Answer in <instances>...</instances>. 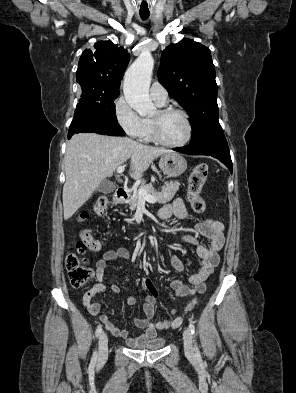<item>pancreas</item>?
Listing matches in <instances>:
<instances>
[{
	"label": "pancreas",
	"mask_w": 296,
	"mask_h": 393,
	"mask_svg": "<svg viewBox=\"0 0 296 393\" xmlns=\"http://www.w3.org/2000/svg\"><path fill=\"white\" fill-rule=\"evenodd\" d=\"M180 183L178 181H171L165 182L164 185L161 187V192L156 191L152 184H142L140 188H143L152 195L158 203L165 204L174 197L176 192L178 191ZM139 188V189H140ZM127 203L129 204L130 210H135L139 204V195L138 190H133L130 198L128 199Z\"/></svg>",
	"instance_id": "cf45deb5"
}]
</instances>
